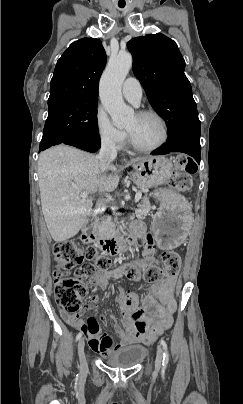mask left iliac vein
Here are the masks:
<instances>
[{"mask_svg":"<svg viewBox=\"0 0 243 404\" xmlns=\"http://www.w3.org/2000/svg\"><path fill=\"white\" fill-rule=\"evenodd\" d=\"M162 361H163V349L159 345L157 347V354H156V360H155V368L157 371H159Z\"/></svg>","mask_w":243,"mask_h":404,"instance_id":"obj_1","label":"left iliac vein"}]
</instances>
